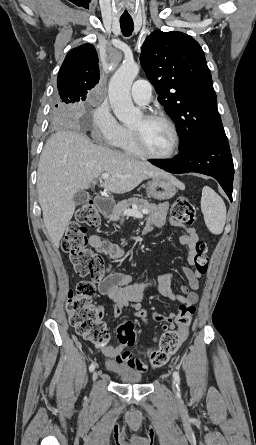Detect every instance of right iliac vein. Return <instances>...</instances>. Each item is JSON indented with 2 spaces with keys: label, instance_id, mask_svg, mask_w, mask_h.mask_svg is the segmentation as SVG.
Listing matches in <instances>:
<instances>
[{
  "label": "right iliac vein",
  "instance_id": "right-iliac-vein-1",
  "mask_svg": "<svg viewBox=\"0 0 256 445\" xmlns=\"http://www.w3.org/2000/svg\"><path fill=\"white\" fill-rule=\"evenodd\" d=\"M97 377H98V373H97V371H94L92 374L93 381H95L97 379Z\"/></svg>",
  "mask_w": 256,
  "mask_h": 445
}]
</instances>
